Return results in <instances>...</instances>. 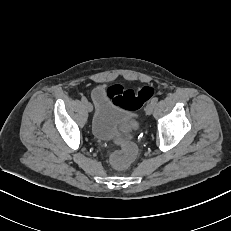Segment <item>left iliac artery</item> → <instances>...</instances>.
I'll return each mask as SVG.
<instances>
[{
	"label": "left iliac artery",
	"mask_w": 231,
	"mask_h": 231,
	"mask_svg": "<svg viewBox=\"0 0 231 231\" xmlns=\"http://www.w3.org/2000/svg\"><path fill=\"white\" fill-rule=\"evenodd\" d=\"M151 102L157 103L158 102V97L152 98Z\"/></svg>",
	"instance_id": "obj_1"
}]
</instances>
